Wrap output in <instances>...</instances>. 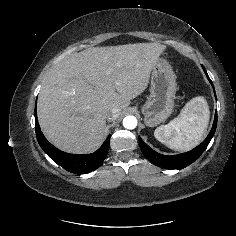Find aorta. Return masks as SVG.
<instances>
[{
  "mask_svg": "<svg viewBox=\"0 0 236 236\" xmlns=\"http://www.w3.org/2000/svg\"><path fill=\"white\" fill-rule=\"evenodd\" d=\"M123 126L126 128V129H135L136 126H137V119L136 117L134 116H126L124 119H123Z\"/></svg>",
  "mask_w": 236,
  "mask_h": 236,
  "instance_id": "aorta-1",
  "label": "aorta"
}]
</instances>
